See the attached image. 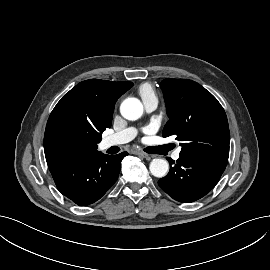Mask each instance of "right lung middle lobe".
<instances>
[{
    "instance_id": "1",
    "label": "right lung middle lobe",
    "mask_w": 270,
    "mask_h": 270,
    "mask_svg": "<svg viewBox=\"0 0 270 270\" xmlns=\"http://www.w3.org/2000/svg\"><path fill=\"white\" fill-rule=\"evenodd\" d=\"M92 141V136L73 128H65L56 138L57 147L66 154H73L84 149Z\"/></svg>"
}]
</instances>
